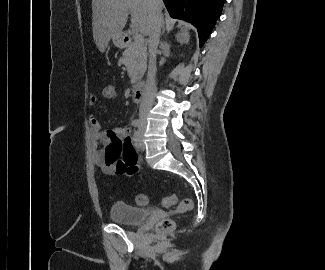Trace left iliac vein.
I'll return each instance as SVG.
<instances>
[{"label":"left iliac vein","mask_w":325,"mask_h":270,"mask_svg":"<svg viewBox=\"0 0 325 270\" xmlns=\"http://www.w3.org/2000/svg\"><path fill=\"white\" fill-rule=\"evenodd\" d=\"M144 131H145V126L144 125H141L139 127V144H138V149L139 150H144L145 149V144H144V141H143V135H144Z\"/></svg>","instance_id":"left-iliac-vein-1"}]
</instances>
